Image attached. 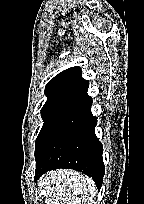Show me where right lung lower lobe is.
<instances>
[{
	"instance_id": "1",
	"label": "right lung lower lobe",
	"mask_w": 144,
	"mask_h": 204,
	"mask_svg": "<svg viewBox=\"0 0 144 204\" xmlns=\"http://www.w3.org/2000/svg\"><path fill=\"white\" fill-rule=\"evenodd\" d=\"M92 98L86 93L72 103L36 157L34 180L57 168H71L92 177L98 189L105 173L102 144L94 133L97 118L91 113Z\"/></svg>"
}]
</instances>
